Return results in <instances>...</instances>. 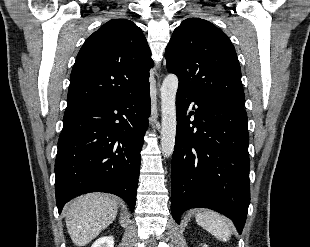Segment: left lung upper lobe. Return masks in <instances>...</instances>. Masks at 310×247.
<instances>
[{
  "label": "left lung upper lobe",
  "mask_w": 310,
  "mask_h": 247,
  "mask_svg": "<svg viewBox=\"0 0 310 247\" xmlns=\"http://www.w3.org/2000/svg\"><path fill=\"white\" fill-rule=\"evenodd\" d=\"M166 67L179 79L178 89L244 108L240 64L227 35L209 21L188 18L165 50Z\"/></svg>",
  "instance_id": "left-lung-upper-lobe-1"
}]
</instances>
